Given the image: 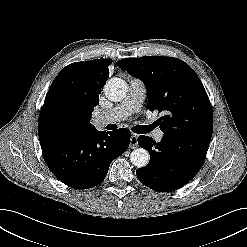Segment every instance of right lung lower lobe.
<instances>
[{
    "mask_svg": "<svg viewBox=\"0 0 247 247\" xmlns=\"http://www.w3.org/2000/svg\"><path fill=\"white\" fill-rule=\"evenodd\" d=\"M46 164L64 184L75 189L99 185L113 159L123 154L130 142V130L94 131L75 134L38 125Z\"/></svg>",
    "mask_w": 247,
    "mask_h": 247,
    "instance_id": "98d812e1",
    "label": "right lung lower lobe"
}]
</instances>
